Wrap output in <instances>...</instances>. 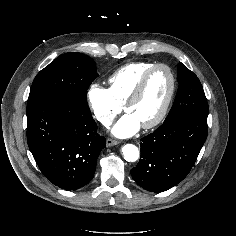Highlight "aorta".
Masks as SVG:
<instances>
[{
    "label": "aorta",
    "instance_id": "762f6f07",
    "mask_svg": "<svg viewBox=\"0 0 236 236\" xmlns=\"http://www.w3.org/2000/svg\"><path fill=\"white\" fill-rule=\"evenodd\" d=\"M122 154L124 159L128 162H135L139 158V150L133 144H126L122 147Z\"/></svg>",
    "mask_w": 236,
    "mask_h": 236
}]
</instances>
